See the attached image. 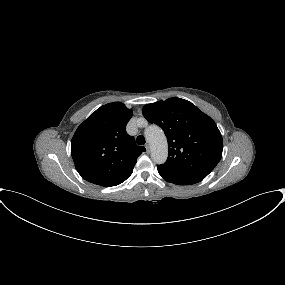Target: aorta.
<instances>
[{"label": "aorta", "instance_id": "1", "mask_svg": "<svg viewBox=\"0 0 285 285\" xmlns=\"http://www.w3.org/2000/svg\"><path fill=\"white\" fill-rule=\"evenodd\" d=\"M145 137L150 144L152 160L163 164L168 157V144L163 130L157 125H150L145 129Z\"/></svg>", "mask_w": 285, "mask_h": 285}]
</instances>
